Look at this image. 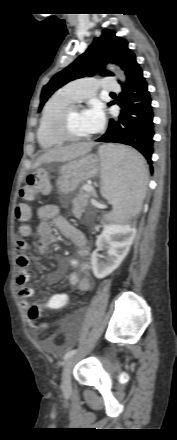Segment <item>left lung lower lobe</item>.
<instances>
[{"mask_svg":"<svg viewBox=\"0 0 177 440\" xmlns=\"http://www.w3.org/2000/svg\"><path fill=\"white\" fill-rule=\"evenodd\" d=\"M122 111L118 121L110 120L107 132L96 141L122 143L134 147L153 171V109L147 83L138 68L120 94Z\"/></svg>","mask_w":177,"mask_h":440,"instance_id":"0a47b994","label":"left lung lower lobe"}]
</instances>
